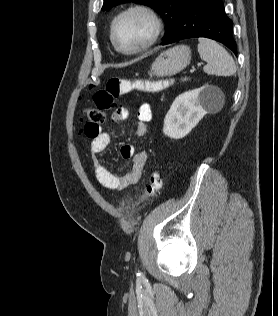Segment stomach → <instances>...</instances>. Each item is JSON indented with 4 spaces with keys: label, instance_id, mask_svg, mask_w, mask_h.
Masks as SVG:
<instances>
[{
    "label": "stomach",
    "instance_id": "0dacf381",
    "mask_svg": "<svg viewBox=\"0 0 278 316\" xmlns=\"http://www.w3.org/2000/svg\"><path fill=\"white\" fill-rule=\"evenodd\" d=\"M191 59L188 46H180L161 53L151 65V73L158 77L172 76L182 71Z\"/></svg>",
    "mask_w": 278,
    "mask_h": 316
}]
</instances>
